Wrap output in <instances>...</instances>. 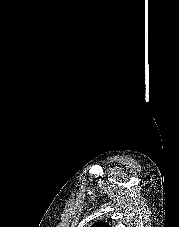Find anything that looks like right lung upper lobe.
<instances>
[{
	"label": "right lung upper lobe",
	"mask_w": 179,
	"mask_h": 227,
	"mask_svg": "<svg viewBox=\"0 0 179 227\" xmlns=\"http://www.w3.org/2000/svg\"><path fill=\"white\" fill-rule=\"evenodd\" d=\"M91 227H110L109 225H107V223L105 222H98L93 224Z\"/></svg>",
	"instance_id": "obj_1"
}]
</instances>
